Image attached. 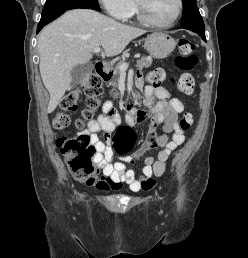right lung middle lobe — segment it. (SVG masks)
Here are the masks:
<instances>
[{"mask_svg": "<svg viewBox=\"0 0 248 258\" xmlns=\"http://www.w3.org/2000/svg\"><path fill=\"white\" fill-rule=\"evenodd\" d=\"M80 4L99 6L97 0H46L41 18L52 15L64 9L72 8Z\"/></svg>", "mask_w": 248, "mask_h": 258, "instance_id": "dd1d6c3e", "label": "right lung middle lobe"}]
</instances>
